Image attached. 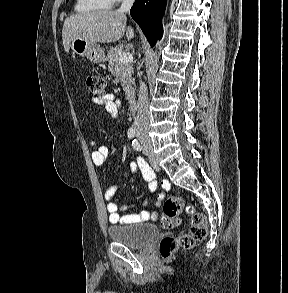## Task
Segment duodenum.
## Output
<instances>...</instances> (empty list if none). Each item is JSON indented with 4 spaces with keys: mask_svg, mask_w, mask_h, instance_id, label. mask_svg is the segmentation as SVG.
<instances>
[{
    "mask_svg": "<svg viewBox=\"0 0 288 293\" xmlns=\"http://www.w3.org/2000/svg\"><path fill=\"white\" fill-rule=\"evenodd\" d=\"M128 104H129V109L132 113H136L138 111V102L136 99L131 98Z\"/></svg>",
    "mask_w": 288,
    "mask_h": 293,
    "instance_id": "1",
    "label": "duodenum"
}]
</instances>
